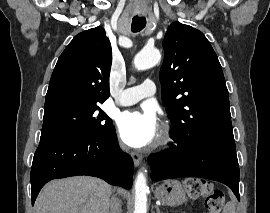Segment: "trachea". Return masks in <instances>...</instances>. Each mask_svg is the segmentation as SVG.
<instances>
[{
    "label": "trachea",
    "instance_id": "1",
    "mask_svg": "<svg viewBox=\"0 0 270 213\" xmlns=\"http://www.w3.org/2000/svg\"><path fill=\"white\" fill-rule=\"evenodd\" d=\"M146 26L145 18H133L131 30L132 32H139Z\"/></svg>",
    "mask_w": 270,
    "mask_h": 213
}]
</instances>
